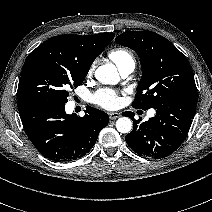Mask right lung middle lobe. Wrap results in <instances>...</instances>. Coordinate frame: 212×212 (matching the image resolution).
I'll return each instance as SVG.
<instances>
[{"label": "right lung middle lobe", "mask_w": 212, "mask_h": 212, "mask_svg": "<svg viewBox=\"0 0 212 212\" xmlns=\"http://www.w3.org/2000/svg\"><path fill=\"white\" fill-rule=\"evenodd\" d=\"M87 72L66 68L45 60L24 63L17 99L41 98L65 104L69 88H77Z\"/></svg>", "instance_id": "obj_1"}]
</instances>
